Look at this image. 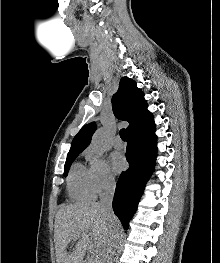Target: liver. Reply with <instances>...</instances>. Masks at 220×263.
I'll use <instances>...</instances> for the list:
<instances>
[{
  "label": "liver",
  "instance_id": "1",
  "mask_svg": "<svg viewBox=\"0 0 220 263\" xmlns=\"http://www.w3.org/2000/svg\"><path fill=\"white\" fill-rule=\"evenodd\" d=\"M120 230L114 215L107 214L97 202L62 205L55 216L54 243L57 263H93L94 256L103 259L110 231ZM78 239L72 251L69 245ZM76 239V240H77ZM88 253V257H84Z\"/></svg>",
  "mask_w": 220,
  "mask_h": 263
}]
</instances>
